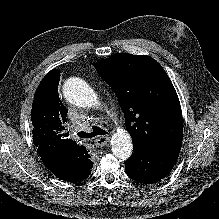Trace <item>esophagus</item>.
<instances>
[{
  "mask_svg": "<svg viewBox=\"0 0 219 219\" xmlns=\"http://www.w3.org/2000/svg\"><path fill=\"white\" fill-rule=\"evenodd\" d=\"M109 139H110V137L109 136H100V137H97L96 139H95V146L96 147H103V146H105L108 142H109Z\"/></svg>",
  "mask_w": 219,
  "mask_h": 219,
  "instance_id": "obj_1",
  "label": "esophagus"
}]
</instances>
